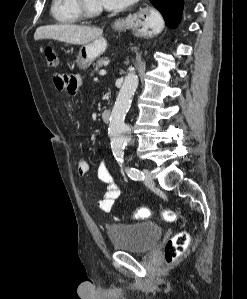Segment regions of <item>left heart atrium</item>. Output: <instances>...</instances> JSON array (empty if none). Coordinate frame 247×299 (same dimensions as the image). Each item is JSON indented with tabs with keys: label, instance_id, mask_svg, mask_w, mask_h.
<instances>
[{
	"label": "left heart atrium",
	"instance_id": "obj_1",
	"mask_svg": "<svg viewBox=\"0 0 247 299\" xmlns=\"http://www.w3.org/2000/svg\"><path fill=\"white\" fill-rule=\"evenodd\" d=\"M134 0H99L100 4L107 9H121Z\"/></svg>",
	"mask_w": 247,
	"mask_h": 299
}]
</instances>
